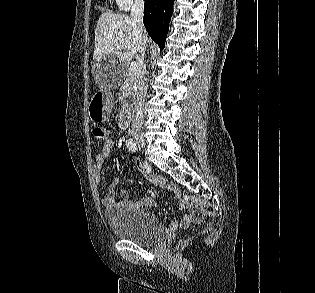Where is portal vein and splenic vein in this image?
I'll return each instance as SVG.
<instances>
[{
    "mask_svg": "<svg viewBox=\"0 0 315 293\" xmlns=\"http://www.w3.org/2000/svg\"><path fill=\"white\" fill-rule=\"evenodd\" d=\"M138 70V63L137 62H131L129 72H136Z\"/></svg>",
    "mask_w": 315,
    "mask_h": 293,
    "instance_id": "obj_1",
    "label": "portal vein and splenic vein"
}]
</instances>
